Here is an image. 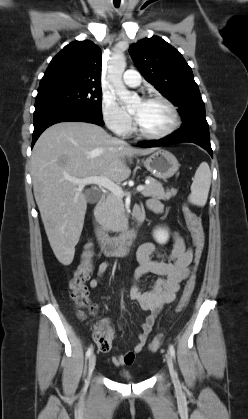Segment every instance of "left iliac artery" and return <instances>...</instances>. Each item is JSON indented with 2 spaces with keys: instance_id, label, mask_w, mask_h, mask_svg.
<instances>
[{
  "instance_id": "44dca946",
  "label": "left iliac artery",
  "mask_w": 248,
  "mask_h": 419,
  "mask_svg": "<svg viewBox=\"0 0 248 419\" xmlns=\"http://www.w3.org/2000/svg\"><path fill=\"white\" fill-rule=\"evenodd\" d=\"M169 351L172 357H175V349L172 345L169 346Z\"/></svg>"
}]
</instances>
